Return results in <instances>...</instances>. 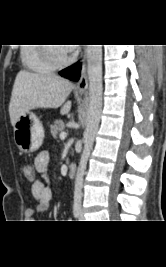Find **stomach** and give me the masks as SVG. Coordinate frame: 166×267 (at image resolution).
Returning a JSON list of instances; mask_svg holds the SVG:
<instances>
[{
	"instance_id": "0dacf381",
	"label": "stomach",
	"mask_w": 166,
	"mask_h": 267,
	"mask_svg": "<svg viewBox=\"0 0 166 267\" xmlns=\"http://www.w3.org/2000/svg\"><path fill=\"white\" fill-rule=\"evenodd\" d=\"M44 130L38 117L33 112L22 114L14 125L16 146L24 153L38 150L43 143Z\"/></svg>"
}]
</instances>
